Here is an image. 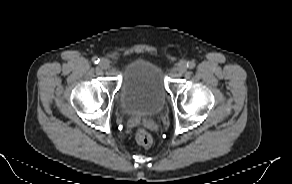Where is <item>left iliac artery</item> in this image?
Instances as JSON below:
<instances>
[{"mask_svg": "<svg viewBox=\"0 0 292 184\" xmlns=\"http://www.w3.org/2000/svg\"><path fill=\"white\" fill-rule=\"evenodd\" d=\"M195 62L194 61H189L188 63H187V67L189 68V69H193L194 67H195Z\"/></svg>", "mask_w": 292, "mask_h": 184, "instance_id": "44dca946", "label": "left iliac artery"}]
</instances>
